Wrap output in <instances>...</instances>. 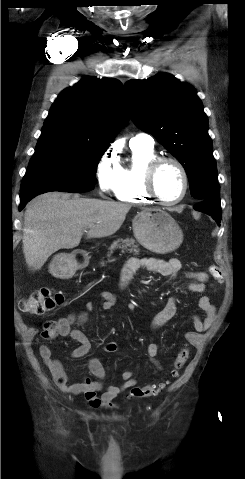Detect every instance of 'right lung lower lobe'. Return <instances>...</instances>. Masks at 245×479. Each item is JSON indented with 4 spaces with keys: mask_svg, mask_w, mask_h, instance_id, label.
I'll return each mask as SVG.
<instances>
[{
    "mask_svg": "<svg viewBox=\"0 0 245 479\" xmlns=\"http://www.w3.org/2000/svg\"><path fill=\"white\" fill-rule=\"evenodd\" d=\"M50 191H62V192H71V193H80V192H72L68 191L65 189L61 188H53V187H38V188H31L28 190H25L23 192H20V206L19 209L20 211L25 207L28 201H30L32 198L35 196L45 193V192H50Z\"/></svg>",
    "mask_w": 245,
    "mask_h": 479,
    "instance_id": "1",
    "label": "right lung lower lobe"
}]
</instances>
